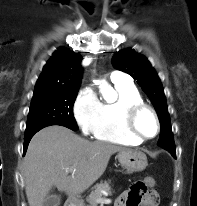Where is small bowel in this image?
I'll return each instance as SVG.
<instances>
[{
  "label": "small bowel",
  "instance_id": "obj_1",
  "mask_svg": "<svg viewBox=\"0 0 197 206\" xmlns=\"http://www.w3.org/2000/svg\"><path fill=\"white\" fill-rule=\"evenodd\" d=\"M129 191H125L117 200L115 206H129L128 203ZM158 197L155 191H152L147 200V206H157Z\"/></svg>",
  "mask_w": 197,
  "mask_h": 206
}]
</instances>
